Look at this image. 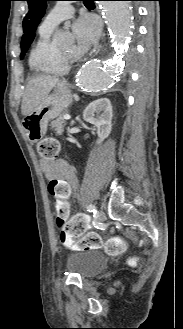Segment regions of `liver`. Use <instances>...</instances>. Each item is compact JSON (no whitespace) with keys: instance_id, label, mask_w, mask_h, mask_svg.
<instances>
[{"instance_id":"1","label":"liver","mask_w":183,"mask_h":329,"mask_svg":"<svg viewBox=\"0 0 183 329\" xmlns=\"http://www.w3.org/2000/svg\"><path fill=\"white\" fill-rule=\"evenodd\" d=\"M57 83L58 79L47 76H38L29 80L23 94L22 114L27 116Z\"/></svg>"}]
</instances>
